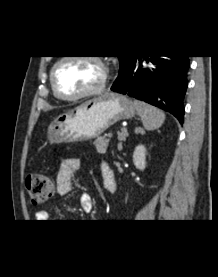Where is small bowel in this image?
<instances>
[{"label":"small bowel","mask_w":218,"mask_h":277,"mask_svg":"<svg viewBox=\"0 0 218 277\" xmlns=\"http://www.w3.org/2000/svg\"><path fill=\"white\" fill-rule=\"evenodd\" d=\"M81 166V162L77 158H65L62 160L60 164V168L58 170L56 176V194L60 197L65 196L71 190L72 185V177L74 173L79 170ZM102 174V172H101ZM110 174L113 175V172L110 170ZM103 185L106 190H110L113 188V185H107L104 181L102 175ZM80 204L84 211L92 210V197L88 193H83L80 197ZM37 222H45L49 215L45 210H39L35 214Z\"/></svg>","instance_id":"c3829d8e"}]
</instances>
